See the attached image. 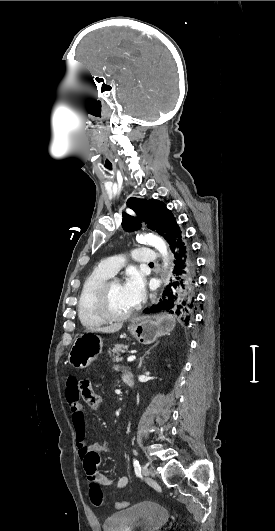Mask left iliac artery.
Segmentation results:
<instances>
[{
    "label": "left iliac artery",
    "instance_id": "obj_1",
    "mask_svg": "<svg viewBox=\"0 0 275 531\" xmlns=\"http://www.w3.org/2000/svg\"><path fill=\"white\" fill-rule=\"evenodd\" d=\"M134 471L137 477H142L141 466L137 459L133 460Z\"/></svg>",
    "mask_w": 275,
    "mask_h": 531
}]
</instances>
